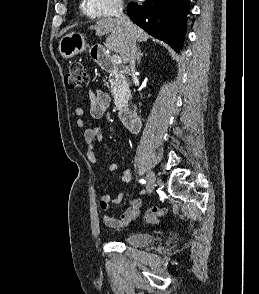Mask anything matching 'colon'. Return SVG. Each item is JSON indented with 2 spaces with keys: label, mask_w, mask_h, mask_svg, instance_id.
Wrapping results in <instances>:
<instances>
[{
  "label": "colon",
  "mask_w": 259,
  "mask_h": 294,
  "mask_svg": "<svg viewBox=\"0 0 259 294\" xmlns=\"http://www.w3.org/2000/svg\"><path fill=\"white\" fill-rule=\"evenodd\" d=\"M88 77L85 69L80 62H72L69 70L65 75V85L69 89L82 88L87 85ZM168 209L166 207H151L145 214V221L150 224H156L160 219L166 215Z\"/></svg>",
  "instance_id": "1"
}]
</instances>
